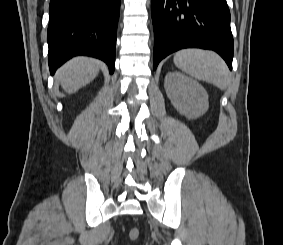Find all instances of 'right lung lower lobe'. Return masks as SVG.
I'll return each mask as SVG.
<instances>
[{
	"label": "right lung lower lobe",
	"mask_w": 283,
	"mask_h": 245,
	"mask_svg": "<svg viewBox=\"0 0 283 245\" xmlns=\"http://www.w3.org/2000/svg\"><path fill=\"white\" fill-rule=\"evenodd\" d=\"M120 0H50L48 62L53 75L76 55H88L115 68Z\"/></svg>",
	"instance_id": "obj_1"
}]
</instances>
